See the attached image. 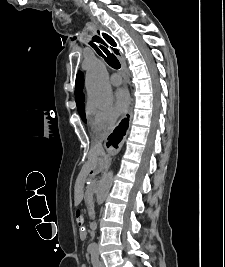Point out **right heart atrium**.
<instances>
[{
    "label": "right heart atrium",
    "instance_id": "right-heart-atrium-1",
    "mask_svg": "<svg viewBox=\"0 0 225 267\" xmlns=\"http://www.w3.org/2000/svg\"><path fill=\"white\" fill-rule=\"evenodd\" d=\"M87 114L91 129L97 135L111 132L117 124V114L110 106L89 103Z\"/></svg>",
    "mask_w": 225,
    "mask_h": 267
}]
</instances>
